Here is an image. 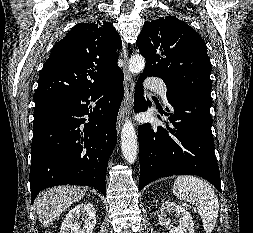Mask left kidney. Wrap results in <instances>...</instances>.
I'll return each mask as SVG.
<instances>
[{"instance_id": "left-kidney-1", "label": "left kidney", "mask_w": 253, "mask_h": 233, "mask_svg": "<svg viewBox=\"0 0 253 233\" xmlns=\"http://www.w3.org/2000/svg\"><path fill=\"white\" fill-rule=\"evenodd\" d=\"M175 213L179 218V225L173 227L167 215ZM159 223L162 226L170 227L169 233H194V223L189 212L175 202L165 201L162 203L159 212Z\"/></svg>"}]
</instances>
